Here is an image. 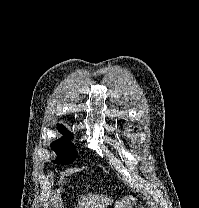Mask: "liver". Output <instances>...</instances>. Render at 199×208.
<instances>
[{
  "label": "liver",
  "mask_w": 199,
  "mask_h": 208,
  "mask_svg": "<svg viewBox=\"0 0 199 208\" xmlns=\"http://www.w3.org/2000/svg\"><path fill=\"white\" fill-rule=\"evenodd\" d=\"M113 199L110 197H104V195H92L83 197V202L80 204L83 208H107L113 203Z\"/></svg>",
  "instance_id": "obj_1"
}]
</instances>
